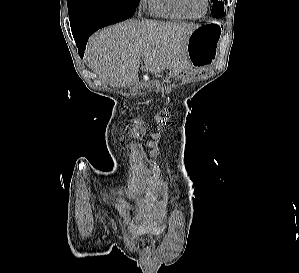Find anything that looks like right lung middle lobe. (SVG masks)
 I'll use <instances>...</instances> for the list:
<instances>
[{
	"instance_id": "dd1d6c3e",
	"label": "right lung middle lobe",
	"mask_w": 299,
	"mask_h": 273,
	"mask_svg": "<svg viewBox=\"0 0 299 273\" xmlns=\"http://www.w3.org/2000/svg\"><path fill=\"white\" fill-rule=\"evenodd\" d=\"M140 0H67L69 18L78 12H91L104 8L136 9Z\"/></svg>"
}]
</instances>
